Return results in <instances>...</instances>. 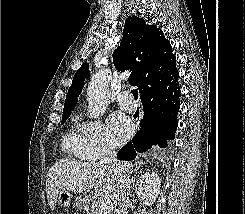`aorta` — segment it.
Masks as SVG:
<instances>
[{
  "mask_svg": "<svg viewBox=\"0 0 245 214\" xmlns=\"http://www.w3.org/2000/svg\"><path fill=\"white\" fill-rule=\"evenodd\" d=\"M109 77L110 72L106 68L99 70L91 77L87 89L89 118H99L107 109Z\"/></svg>",
  "mask_w": 245,
  "mask_h": 214,
  "instance_id": "obj_1",
  "label": "aorta"
}]
</instances>
